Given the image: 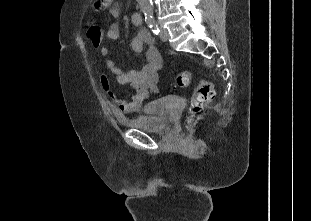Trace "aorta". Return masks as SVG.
<instances>
[{"label": "aorta", "instance_id": "762f6f07", "mask_svg": "<svg viewBox=\"0 0 311 221\" xmlns=\"http://www.w3.org/2000/svg\"><path fill=\"white\" fill-rule=\"evenodd\" d=\"M140 8L144 12L146 20H152L153 18V4L151 0H139Z\"/></svg>", "mask_w": 311, "mask_h": 221}]
</instances>
